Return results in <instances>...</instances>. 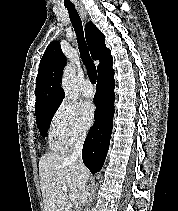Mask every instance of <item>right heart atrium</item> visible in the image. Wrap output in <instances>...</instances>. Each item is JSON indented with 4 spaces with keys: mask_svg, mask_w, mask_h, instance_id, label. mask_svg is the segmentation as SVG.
<instances>
[{
    "mask_svg": "<svg viewBox=\"0 0 178 211\" xmlns=\"http://www.w3.org/2000/svg\"><path fill=\"white\" fill-rule=\"evenodd\" d=\"M51 127L53 136L65 149L82 143L88 132L76 108L66 101L55 110Z\"/></svg>",
    "mask_w": 178,
    "mask_h": 211,
    "instance_id": "right-heart-atrium-1",
    "label": "right heart atrium"
}]
</instances>
